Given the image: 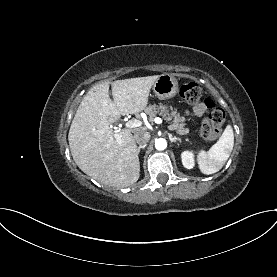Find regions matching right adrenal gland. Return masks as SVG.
I'll list each match as a JSON object with an SVG mask.
<instances>
[{
	"label": "right adrenal gland",
	"instance_id": "obj_1",
	"mask_svg": "<svg viewBox=\"0 0 277 277\" xmlns=\"http://www.w3.org/2000/svg\"><path fill=\"white\" fill-rule=\"evenodd\" d=\"M146 145H140L138 148H137V152L138 154L140 153V150L141 149H145Z\"/></svg>",
	"mask_w": 277,
	"mask_h": 277
}]
</instances>
